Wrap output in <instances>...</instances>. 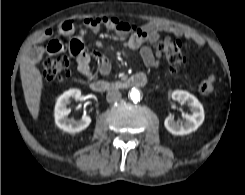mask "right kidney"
Returning a JSON list of instances; mask_svg holds the SVG:
<instances>
[{
    "instance_id": "right-kidney-1",
    "label": "right kidney",
    "mask_w": 245,
    "mask_h": 195,
    "mask_svg": "<svg viewBox=\"0 0 245 195\" xmlns=\"http://www.w3.org/2000/svg\"><path fill=\"white\" fill-rule=\"evenodd\" d=\"M80 97L81 91L79 89H70L58 97L54 117L56 125L63 131L77 133L86 129L91 123V117L87 115H83L78 121L67 117L70 113L67 105L72 99L78 100Z\"/></svg>"
}]
</instances>
